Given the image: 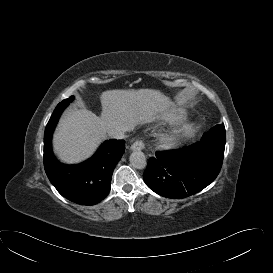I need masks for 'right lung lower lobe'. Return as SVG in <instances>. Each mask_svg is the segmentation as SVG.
Listing matches in <instances>:
<instances>
[{"mask_svg": "<svg viewBox=\"0 0 273 273\" xmlns=\"http://www.w3.org/2000/svg\"><path fill=\"white\" fill-rule=\"evenodd\" d=\"M64 108L57 105L45 128L44 168L50 182L66 199L81 205H95L110 191L113 170L125 151V141L104 142L97 153L83 163H60L53 154L51 138Z\"/></svg>", "mask_w": 273, "mask_h": 273, "instance_id": "obj_1", "label": "right lung lower lobe"}]
</instances>
